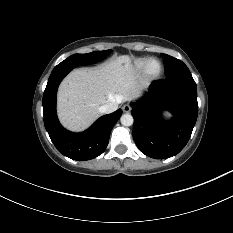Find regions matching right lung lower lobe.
I'll list each match as a JSON object with an SVG mask.
<instances>
[{
  "label": "right lung lower lobe",
  "mask_w": 233,
  "mask_h": 233,
  "mask_svg": "<svg viewBox=\"0 0 233 233\" xmlns=\"http://www.w3.org/2000/svg\"><path fill=\"white\" fill-rule=\"evenodd\" d=\"M73 68L53 70L43 95L44 125L58 151L71 159L85 161L93 159L106 149L110 132L122 111L102 116L82 133L64 129L56 115V94L62 79Z\"/></svg>",
  "instance_id": "1"
}]
</instances>
